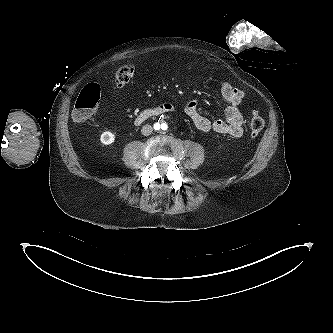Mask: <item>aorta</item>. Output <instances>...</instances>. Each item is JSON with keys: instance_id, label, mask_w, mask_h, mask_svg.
<instances>
[{"instance_id": "1", "label": "aorta", "mask_w": 333, "mask_h": 333, "mask_svg": "<svg viewBox=\"0 0 333 333\" xmlns=\"http://www.w3.org/2000/svg\"><path fill=\"white\" fill-rule=\"evenodd\" d=\"M154 128L157 132L164 133L167 131L168 126L165 122H157L155 123Z\"/></svg>"}]
</instances>
